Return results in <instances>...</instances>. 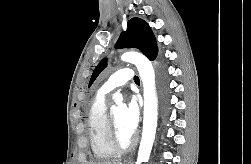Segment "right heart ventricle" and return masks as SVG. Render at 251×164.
Segmentation results:
<instances>
[{
  "instance_id": "e07e8e85",
  "label": "right heart ventricle",
  "mask_w": 251,
  "mask_h": 164,
  "mask_svg": "<svg viewBox=\"0 0 251 164\" xmlns=\"http://www.w3.org/2000/svg\"><path fill=\"white\" fill-rule=\"evenodd\" d=\"M87 127L91 149L96 158L107 159L117 154L110 141L105 94L99 93L93 99L88 111Z\"/></svg>"
}]
</instances>
